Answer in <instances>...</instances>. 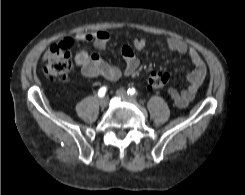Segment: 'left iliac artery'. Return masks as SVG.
Instances as JSON below:
<instances>
[{
	"mask_svg": "<svg viewBox=\"0 0 245 195\" xmlns=\"http://www.w3.org/2000/svg\"><path fill=\"white\" fill-rule=\"evenodd\" d=\"M128 94L129 95H135V94H137L136 89L135 88H129L128 89Z\"/></svg>",
	"mask_w": 245,
	"mask_h": 195,
	"instance_id": "obj_1",
	"label": "left iliac artery"
}]
</instances>
